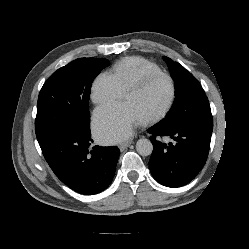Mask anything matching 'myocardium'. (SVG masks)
Here are the masks:
<instances>
[{"mask_svg": "<svg viewBox=\"0 0 249 249\" xmlns=\"http://www.w3.org/2000/svg\"><path fill=\"white\" fill-rule=\"evenodd\" d=\"M158 78H165L169 81L171 85V94L168 102L166 105L157 113L143 118L142 121L144 123H149V122H154L157 121L164 116L168 114V112L171 110V108L174 105L176 95H177V88H176V83L174 79L167 73L159 72V73H153V74H148L137 80L135 83L131 84L125 91H124V97L127 96L128 94L138 92L145 88L151 81L158 79Z\"/></svg>", "mask_w": 249, "mask_h": 249, "instance_id": "f54148a6", "label": "myocardium"}]
</instances>
